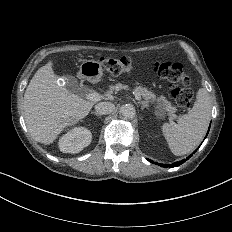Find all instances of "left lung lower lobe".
I'll list each match as a JSON object with an SVG mask.
<instances>
[{
	"label": "left lung lower lobe",
	"mask_w": 232,
	"mask_h": 232,
	"mask_svg": "<svg viewBox=\"0 0 232 232\" xmlns=\"http://www.w3.org/2000/svg\"><path fill=\"white\" fill-rule=\"evenodd\" d=\"M210 128V127H209ZM208 132H209V129H208ZM208 132H207V135H208ZM207 135H206V137H207ZM205 137V138H206ZM196 152V151H195ZM195 152H193V153H195ZM192 156V154L191 155H189L186 159H183V160H181V161H179V162H175V163H172V164H159L160 166H162V167H170V168H172V167H177V166H179L180 164H183L186 160H188L190 157ZM148 161H150L151 163H155V162H153V161H151V160H149V159H147ZM155 164H157V163H155Z\"/></svg>",
	"instance_id": "obj_1"
}]
</instances>
